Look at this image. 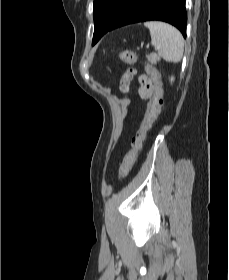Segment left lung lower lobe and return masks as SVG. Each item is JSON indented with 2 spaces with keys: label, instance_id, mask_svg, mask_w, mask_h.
Listing matches in <instances>:
<instances>
[{
  "label": "left lung lower lobe",
  "instance_id": "1",
  "mask_svg": "<svg viewBox=\"0 0 229 280\" xmlns=\"http://www.w3.org/2000/svg\"><path fill=\"white\" fill-rule=\"evenodd\" d=\"M150 20H160L178 28L186 38L185 0H131L123 15L109 30ZM99 39L93 40L92 45Z\"/></svg>",
  "mask_w": 229,
  "mask_h": 280
}]
</instances>
